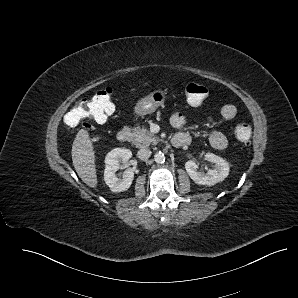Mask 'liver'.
I'll list each match as a JSON object with an SVG mask.
<instances>
[{"label": "liver", "instance_id": "6515ba94", "mask_svg": "<svg viewBox=\"0 0 298 298\" xmlns=\"http://www.w3.org/2000/svg\"><path fill=\"white\" fill-rule=\"evenodd\" d=\"M147 84V83H146ZM72 163L81 180L89 187L97 186L95 154L88 131L80 129L72 144Z\"/></svg>", "mask_w": 298, "mask_h": 298}]
</instances>
